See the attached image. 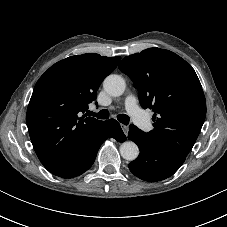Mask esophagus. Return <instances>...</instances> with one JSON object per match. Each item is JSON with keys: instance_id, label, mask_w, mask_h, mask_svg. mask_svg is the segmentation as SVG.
Returning <instances> with one entry per match:
<instances>
[{"instance_id": "esophagus-1", "label": "esophagus", "mask_w": 227, "mask_h": 227, "mask_svg": "<svg viewBox=\"0 0 227 227\" xmlns=\"http://www.w3.org/2000/svg\"><path fill=\"white\" fill-rule=\"evenodd\" d=\"M121 128H122L124 134L127 136L128 132H129V127L126 126V125L121 124Z\"/></svg>"}]
</instances>
